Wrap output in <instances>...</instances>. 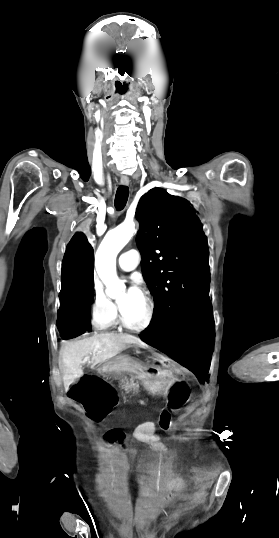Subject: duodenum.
Returning a JSON list of instances; mask_svg holds the SVG:
<instances>
[{"label":"duodenum","instance_id":"410a0bca","mask_svg":"<svg viewBox=\"0 0 279 538\" xmlns=\"http://www.w3.org/2000/svg\"><path fill=\"white\" fill-rule=\"evenodd\" d=\"M100 370L105 373L114 374L116 371H119L121 374H134V381L136 383H141L147 391H150L152 387H157L159 382L156 380L158 373L156 371H149V365L147 364H102L100 365ZM92 378L98 377L97 370L91 372ZM141 405H144V402H141Z\"/></svg>","mask_w":279,"mask_h":538}]
</instances>
